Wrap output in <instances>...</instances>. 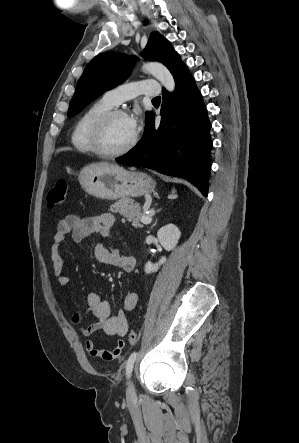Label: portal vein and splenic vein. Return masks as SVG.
<instances>
[{
  "mask_svg": "<svg viewBox=\"0 0 299 443\" xmlns=\"http://www.w3.org/2000/svg\"><path fill=\"white\" fill-rule=\"evenodd\" d=\"M151 221H152V215L151 214H148V215H145V216H143L142 218H141V222L143 223V224H150L151 223Z\"/></svg>",
  "mask_w": 299,
  "mask_h": 443,
  "instance_id": "1",
  "label": "portal vein and splenic vein"
}]
</instances>
